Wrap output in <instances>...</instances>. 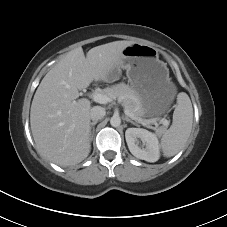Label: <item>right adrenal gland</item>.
I'll use <instances>...</instances> for the list:
<instances>
[{
  "label": "right adrenal gland",
  "mask_w": 227,
  "mask_h": 227,
  "mask_svg": "<svg viewBox=\"0 0 227 227\" xmlns=\"http://www.w3.org/2000/svg\"><path fill=\"white\" fill-rule=\"evenodd\" d=\"M98 121H93L90 123V133H89V139L90 141L93 139V134H94V131H95V125L97 124Z\"/></svg>",
  "instance_id": "1"
}]
</instances>
